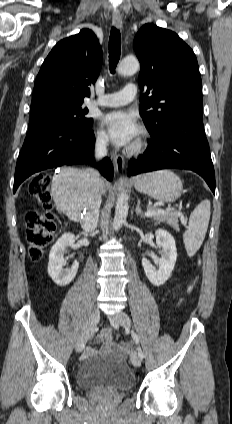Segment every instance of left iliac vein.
Masks as SVG:
<instances>
[{
    "mask_svg": "<svg viewBox=\"0 0 232 424\" xmlns=\"http://www.w3.org/2000/svg\"><path fill=\"white\" fill-rule=\"evenodd\" d=\"M109 319H110V322L112 324H119V325L123 326L124 328H129L130 325H131V321H130L129 316L125 312H122V311L116 313L113 316H110ZM131 361H132V364L135 367L141 366V358L139 357V355L136 352H133L131 354Z\"/></svg>",
    "mask_w": 232,
    "mask_h": 424,
    "instance_id": "4c4485c4",
    "label": "left iliac vein"
}]
</instances>
